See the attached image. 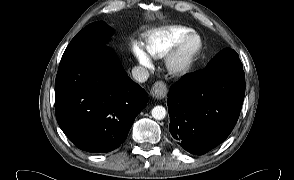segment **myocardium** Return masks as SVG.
I'll use <instances>...</instances> for the list:
<instances>
[{"label": "myocardium", "instance_id": "myocardium-1", "mask_svg": "<svg viewBox=\"0 0 294 180\" xmlns=\"http://www.w3.org/2000/svg\"><path fill=\"white\" fill-rule=\"evenodd\" d=\"M191 41H196V46L190 53L185 54V50ZM202 49L203 42L198 34L190 33L186 35L165 56L164 70L174 78L185 76L192 69Z\"/></svg>", "mask_w": 294, "mask_h": 180}]
</instances>
